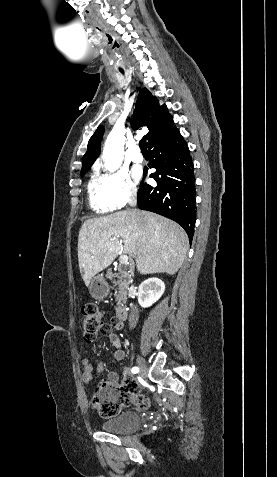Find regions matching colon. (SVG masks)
<instances>
[{
    "mask_svg": "<svg viewBox=\"0 0 277 477\" xmlns=\"http://www.w3.org/2000/svg\"><path fill=\"white\" fill-rule=\"evenodd\" d=\"M81 315L84 339L86 342H93L102 330L101 312L95 304L89 303L83 306ZM92 404L101 416L112 417L130 404H134L140 410H147L150 407V400L139 393L138 386L132 381L120 384L107 381L96 388Z\"/></svg>",
    "mask_w": 277,
    "mask_h": 477,
    "instance_id": "colon-1",
    "label": "colon"
}]
</instances>
